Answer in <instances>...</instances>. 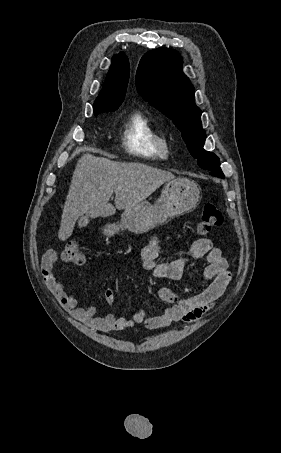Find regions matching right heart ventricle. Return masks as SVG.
Segmentation results:
<instances>
[{
  "mask_svg": "<svg viewBox=\"0 0 281 453\" xmlns=\"http://www.w3.org/2000/svg\"><path fill=\"white\" fill-rule=\"evenodd\" d=\"M123 141L131 153L151 159L161 157L167 147L165 136L140 111H134L128 116Z\"/></svg>",
  "mask_w": 281,
  "mask_h": 453,
  "instance_id": "right-heart-ventricle-1",
  "label": "right heart ventricle"
}]
</instances>
